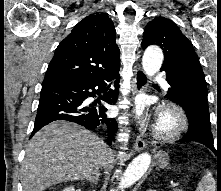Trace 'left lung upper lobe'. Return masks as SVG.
I'll list each match as a JSON object with an SVG mask.
<instances>
[{"mask_svg": "<svg viewBox=\"0 0 221 191\" xmlns=\"http://www.w3.org/2000/svg\"><path fill=\"white\" fill-rule=\"evenodd\" d=\"M149 45H158L164 52V63L161 71L166 75L185 72L193 64L200 65L192 43L181 33L177 25L164 17H156L150 21L144 31L142 48ZM169 96V91L166 97ZM197 142L214 149V140L209 122L206 133L200 135Z\"/></svg>", "mask_w": 221, "mask_h": 191, "instance_id": "5c2ea615", "label": "left lung upper lobe"}]
</instances>
